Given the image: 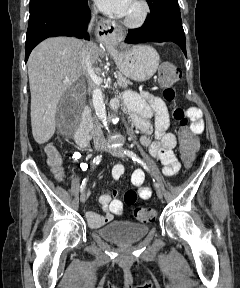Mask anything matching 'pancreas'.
I'll list each match as a JSON object with an SVG mask.
<instances>
[{"label":"pancreas","mask_w":240,"mask_h":288,"mask_svg":"<svg viewBox=\"0 0 240 288\" xmlns=\"http://www.w3.org/2000/svg\"><path fill=\"white\" fill-rule=\"evenodd\" d=\"M117 83L119 87L126 88L129 84H131V81L122 74H118Z\"/></svg>","instance_id":"obj_1"}]
</instances>
